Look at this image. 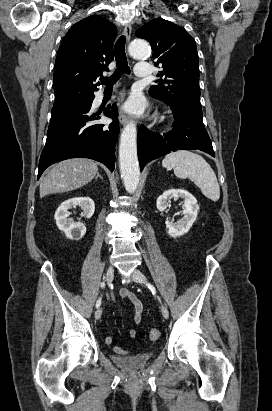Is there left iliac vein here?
<instances>
[{
  "label": "left iliac vein",
  "instance_id": "1",
  "mask_svg": "<svg viewBox=\"0 0 272 411\" xmlns=\"http://www.w3.org/2000/svg\"><path fill=\"white\" fill-rule=\"evenodd\" d=\"M131 278H132L134 281L138 282V283L144 284V283L147 282V279H146L145 275H144L142 272H140L139 270H137V269H134V270L132 271ZM161 313H162V315H163V317H164L165 319H168V317H169V312H168L167 307H166L164 304L161 305Z\"/></svg>",
  "mask_w": 272,
  "mask_h": 411
}]
</instances>
